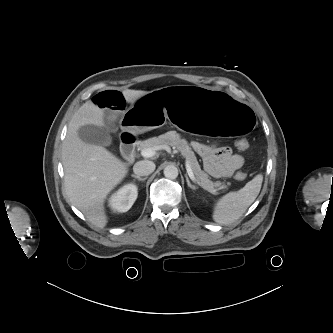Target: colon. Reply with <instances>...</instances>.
<instances>
[{"label": "colon", "instance_id": "colon-1", "mask_svg": "<svg viewBox=\"0 0 333 333\" xmlns=\"http://www.w3.org/2000/svg\"><path fill=\"white\" fill-rule=\"evenodd\" d=\"M249 146V143L247 140L245 139H239L237 142H236V147L239 149V150H246ZM235 178L239 181H242L246 178V173L244 172H237L236 175H235Z\"/></svg>", "mask_w": 333, "mask_h": 333}]
</instances>
